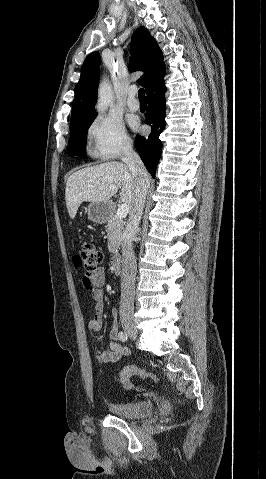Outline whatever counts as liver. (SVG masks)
I'll list each match as a JSON object with an SVG mask.
<instances>
[{
	"label": "liver",
	"instance_id": "liver-1",
	"mask_svg": "<svg viewBox=\"0 0 266 479\" xmlns=\"http://www.w3.org/2000/svg\"><path fill=\"white\" fill-rule=\"evenodd\" d=\"M121 188V201L131 210L136 199V181L128 166L106 162L74 172L67 180L65 201L70 217L75 218L82 202H108Z\"/></svg>",
	"mask_w": 266,
	"mask_h": 479
}]
</instances>
